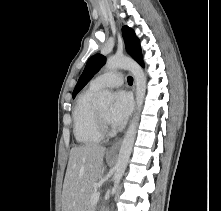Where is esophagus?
<instances>
[{
  "instance_id": "esophagus-1",
  "label": "esophagus",
  "mask_w": 221,
  "mask_h": 211,
  "mask_svg": "<svg viewBox=\"0 0 221 211\" xmlns=\"http://www.w3.org/2000/svg\"><path fill=\"white\" fill-rule=\"evenodd\" d=\"M135 89V87L133 88V90ZM121 142H122V138L116 140L112 145L111 147L109 148L108 152L110 154H115L119 148H120V145H121Z\"/></svg>"
}]
</instances>
